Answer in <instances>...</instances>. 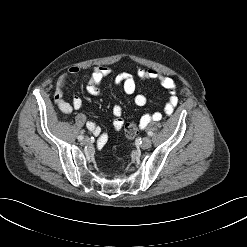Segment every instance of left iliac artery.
Wrapping results in <instances>:
<instances>
[{
	"label": "left iliac artery",
	"mask_w": 247,
	"mask_h": 247,
	"mask_svg": "<svg viewBox=\"0 0 247 247\" xmlns=\"http://www.w3.org/2000/svg\"><path fill=\"white\" fill-rule=\"evenodd\" d=\"M152 135H153V132L149 131L148 136H152Z\"/></svg>",
	"instance_id": "left-iliac-artery-1"
}]
</instances>
